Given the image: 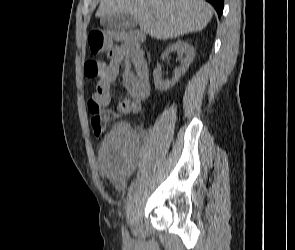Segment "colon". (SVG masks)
Returning <instances> with one entry per match:
<instances>
[{"mask_svg":"<svg viewBox=\"0 0 295 250\" xmlns=\"http://www.w3.org/2000/svg\"><path fill=\"white\" fill-rule=\"evenodd\" d=\"M144 35L139 31H123L116 29L95 28L89 33L88 42L92 54L99 55L111 49L113 42H121L132 52L142 49ZM104 70V63L97 59H88L84 65V73L88 78L100 77ZM88 108L92 114L91 124L96 136L102 135L107 124L116 117V112L104 109L91 99Z\"/></svg>","mask_w":295,"mask_h":250,"instance_id":"colon-1","label":"colon"}]
</instances>
